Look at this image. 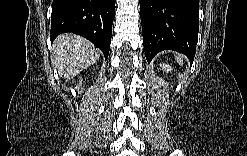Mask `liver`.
Wrapping results in <instances>:
<instances>
[{"label":"liver","mask_w":247,"mask_h":156,"mask_svg":"<svg viewBox=\"0 0 247 156\" xmlns=\"http://www.w3.org/2000/svg\"><path fill=\"white\" fill-rule=\"evenodd\" d=\"M52 66L61 77L70 79L96 63L100 51L83 37L66 33L58 36L52 46Z\"/></svg>","instance_id":"6515ba94"}]
</instances>
